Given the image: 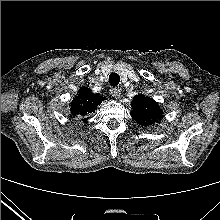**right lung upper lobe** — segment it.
Instances as JSON below:
<instances>
[{"label": "right lung upper lobe", "mask_w": 220, "mask_h": 220, "mask_svg": "<svg viewBox=\"0 0 220 220\" xmlns=\"http://www.w3.org/2000/svg\"><path fill=\"white\" fill-rule=\"evenodd\" d=\"M104 100L98 93L94 94L87 87H81L78 94L73 98L70 106V117H83L86 121L90 113H94L97 106Z\"/></svg>", "instance_id": "obj_1"}]
</instances>
